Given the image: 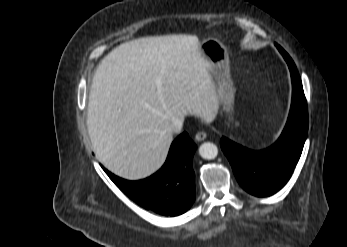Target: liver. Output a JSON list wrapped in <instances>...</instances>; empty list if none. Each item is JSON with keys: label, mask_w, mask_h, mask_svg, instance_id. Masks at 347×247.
Listing matches in <instances>:
<instances>
[{"label": "liver", "mask_w": 347, "mask_h": 247, "mask_svg": "<svg viewBox=\"0 0 347 247\" xmlns=\"http://www.w3.org/2000/svg\"><path fill=\"white\" fill-rule=\"evenodd\" d=\"M199 45L194 35L150 36L103 58L86 123L95 155L112 173L128 180L150 176L166 160L175 119H215L219 97Z\"/></svg>", "instance_id": "1"}]
</instances>
